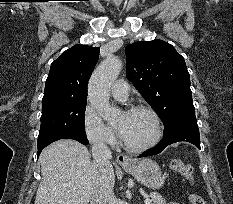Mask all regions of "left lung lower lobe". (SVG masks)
Listing matches in <instances>:
<instances>
[{
  "label": "left lung lower lobe",
  "mask_w": 233,
  "mask_h": 204,
  "mask_svg": "<svg viewBox=\"0 0 233 204\" xmlns=\"http://www.w3.org/2000/svg\"><path fill=\"white\" fill-rule=\"evenodd\" d=\"M179 141L190 142L200 149V134L198 127H182L174 130L171 134L163 136V139L155 148L143 153L139 157H146L158 154L162 152L167 145Z\"/></svg>",
  "instance_id": "0a47b994"
}]
</instances>
